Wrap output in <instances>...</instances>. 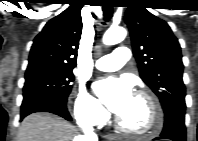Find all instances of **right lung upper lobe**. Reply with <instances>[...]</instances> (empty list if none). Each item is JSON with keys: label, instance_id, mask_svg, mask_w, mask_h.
<instances>
[{"label": "right lung upper lobe", "instance_id": "right-lung-upper-lobe-1", "mask_svg": "<svg viewBox=\"0 0 198 141\" xmlns=\"http://www.w3.org/2000/svg\"><path fill=\"white\" fill-rule=\"evenodd\" d=\"M80 4L70 7L51 19L36 36L26 72L40 69L72 70L82 33Z\"/></svg>", "mask_w": 198, "mask_h": 141}]
</instances>
